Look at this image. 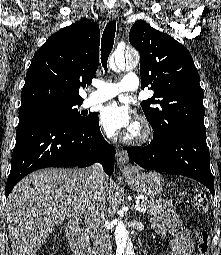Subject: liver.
<instances>
[{"mask_svg":"<svg viewBox=\"0 0 221 255\" xmlns=\"http://www.w3.org/2000/svg\"><path fill=\"white\" fill-rule=\"evenodd\" d=\"M109 185L90 179L89 168H48L24 177L7 199L6 215L13 255H35L53 230L84 214L89 199Z\"/></svg>","mask_w":221,"mask_h":255,"instance_id":"1","label":"liver"}]
</instances>
